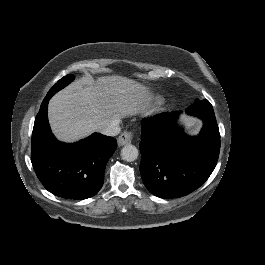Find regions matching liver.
<instances>
[{
    "label": "liver",
    "instance_id": "obj_1",
    "mask_svg": "<svg viewBox=\"0 0 265 265\" xmlns=\"http://www.w3.org/2000/svg\"><path fill=\"white\" fill-rule=\"evenodd\" d=\"M154 90L122 75L76 78L48 102V122L57 141L74 143L112 121L144 115Z\"/></svg>",
    "mask_w": 265,
    "mask_h": 265
}]
</instances>
